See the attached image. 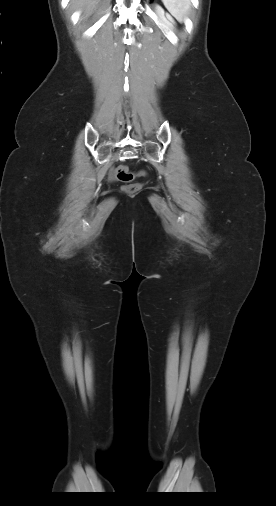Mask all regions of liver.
I'll return each instance as SVG.
<instances>
[{
  "instance_id": "6515ba94",
  "label": "liver",
  "mask_w": 276,
  "mask_h": 506,
  "mask_svg": "<svg viewBox=\"0 0 276 506\" xmlns=\"http://www.w3.org/2000/svg\"><path fill=\"white\" fill-rule=\"evenodd\" d=\"M100 0H71V7L82 11V19L89 17L96 9Z\"/></svg>"
}]
</instances>
